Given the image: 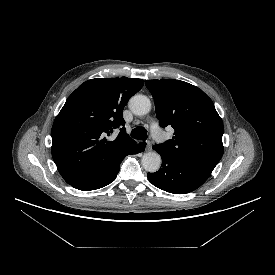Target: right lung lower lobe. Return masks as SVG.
<instances>
[{"mask_svg":"<svg viewBox=\"0 0 275 275\" xmlns=\"http://www.w3.org/2000/svg\"><path fill=\"white\" fill-rule=\"evenodd\" d=\"M145 146H146L145 142L139 143L127 155L138 154L140 152H143L145 149ZM124 157L120 161L115 163L112 167H110L108 170H106L105 172L95 175L93 177H90L88 179L78 181L70 185L79 190L90 191V190L102 188L110 184L115 180L120 169V163L122 162Z\"/></svg>","mask_w":275,"mask_h":275,"instance_id":"right-lung-lower-lobe-1","label":"right lung lower lobe"}]
</instances>
